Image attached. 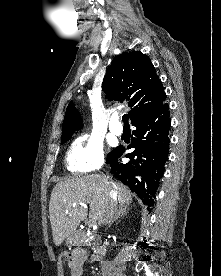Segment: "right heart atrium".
<instances>
[{
    "label": "right heart atrium",
    "instance_id": "right-heart-atrium-1",
    "mask_svg": "<svg viewBox=\"0 0 221 276\" xmlns=\"http://www.w3.org/2000/svg\"><path fill=\"white\" fill-rule=\"evenodd\" d=\"M66 162L74 172L86 173L99 169L104 163L102 143L94 137L76 140L67 153Z\"/></svg>",
    "mask_w": 221,
    "mask_h": 276
}]
</instances>
